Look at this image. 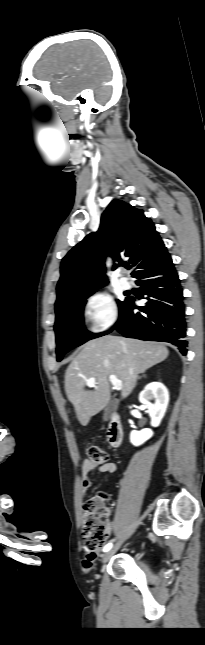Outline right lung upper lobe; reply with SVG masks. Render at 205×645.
<instances>
[{
    "label": "right lung upper lobe",
    "mask_w": 205,
    "mask_h": 645,
    "mask_svg": "<svg viewBox=\"0 0 205 645\" xmlns=\"http://www.w3.org/2000/svg\"><path fill=\"white\" fill-rule=\"evenodd\" d=\"M105 255L119 264L127 257L134 267L132 276L169 256L152 221L143 211L121 200H113L101 217L99 230L87 235L63 258L57 284L56 314L71 306L80 296L92 294L108 283ZM97 274L93 281L88 271Z\"/></svg>",
    "instance_id": "1"
}]
</instances>
